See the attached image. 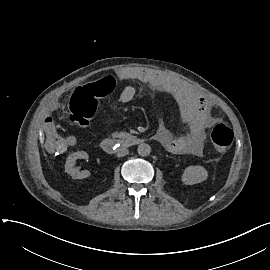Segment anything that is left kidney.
I'll use <instances>...</instances> for the list:
<instances>
[{
    "mask_svg": "<svg viewBox=\"0 0 270 270\" xmlns=\"http://www.w3.org/2000/svg\"><path fill=\"white\" fill-rule=\"evenodd\" d=\"M208 177L207 170L202 166H189L182 175V181L186 185H193L205 181Z\"/></svg>",
    "mask_w": 270,
    "mask_h": 270,
    "instance_id": "left-kidney-1",
    "label": "left kidney"
}]
</instances>
